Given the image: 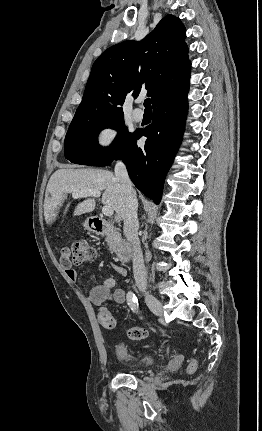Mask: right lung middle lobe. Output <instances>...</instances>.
Masks as SVG:
<instances>
[{"mask_svg":"<svg viewBox=\"0 0 262 431\" xmlns=\"http://www.w3.org/2000/svg\"><path fill=\"white\" fill-rule=\"evenodd\" d=\"M110 127L119 131L108 148L98 145V133ZM134 133L128 132L123 116L107 119L73 120L65 137L66 159L75 164L106 166L120 156Z\"/></svg>","mask_w":262,"mask_h":431,"instance_id":"obj_1","label":"right lung middle lobe"}]
</instances>
